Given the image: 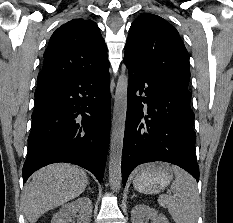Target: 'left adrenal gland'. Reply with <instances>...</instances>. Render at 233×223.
Returning a JSON list of instances; mask_svg holds the SVG:
<instances>
[{"label": "left adrenal gland", "instance_id": "1", "mask_svg": "<svg viewBox=\"0 0 233 223\" xmlns=\"http://www.w3.org/2000/svg\"><path fill=\"white\" fill-rule=\"evenodd\" d=\"M131 197H136L135 193H133V195H131Z\"/></svg>", "mask_w": 233, "mask_h": 223}]
</instances>
